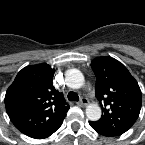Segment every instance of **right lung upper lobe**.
Returning a JSON list of instances; mask_svg holds the SVG:
<instances>
[{"label":"right lung upper lobe","mask_w":145,"mask_h":145,"mask_svg":"<svg viewBox=\"0 0 145 145\" xmlns=\"http://www.w3.org/2000/svg\"><path fill=\"white\" fill-rule=\"evenodd\" d=\"M55 69L42 63L23 68L5 95L7 114L23 134L34 137L57 126L69 106L53 84Z\"/></svg>","instance_id":"right-lung-upper-lobe-1"}]
</instances>
